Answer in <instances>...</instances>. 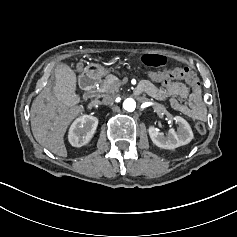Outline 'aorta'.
Instances as JSON below:
<instances>
[{
	"mask_svg": "<svg viewBox=\"0 0 237 237\" xmlns=\"http://www.w3.org/2000/svg\"><path fill=\"white\" fill-rule=\"evenodd\" d=\"M123 108L128 112H133L136 108V102L133 98H127L123 102Z\"/></svg>",
	"mask_w": 237,
	"mask_h": 237,
	"instance_id": "aorta-1",
	"label": "aorta"
}]
</instances>
